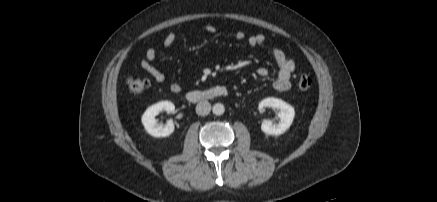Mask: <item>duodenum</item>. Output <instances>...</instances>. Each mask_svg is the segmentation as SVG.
<instances>
[{
    "label": "duodenum",
    "instance_id": "1",
    "mask_svg": "<svg viewBox=\"0 0 437 202\" xmlns=\"http://www.w3.org/2000/svg\"><path fill=\"white\" fill-rule=\"evenodd\" d=\"M228 95V90L224 86H214L202 90H191L187 92L186 98L190 102H200L205 100H211L219 97H225Z\"/></svg>",
    "mask_w": 437,
    "mask_h": 202
}]
</instances>
